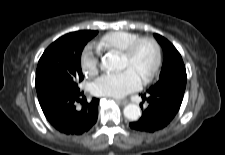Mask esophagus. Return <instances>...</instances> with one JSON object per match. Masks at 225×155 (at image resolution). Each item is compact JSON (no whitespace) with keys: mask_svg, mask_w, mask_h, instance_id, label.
Returning a JSON list of instances; mask_svg holds the SVG:
<instances>
[{"mask_svg":"<svg viewBox=\"0 0 225 155\" xmlns=\"http://www.w3.org/2000/svg\"><path fill=\"white\" fill-rule=\"evenodd\" d=\"M117 102L119 103V104H121V105H126V104H128L129 103V101L128 100H117Z\"/></svg>","mask_w":225,"mask_h":155,"instance_id":"esophagus-1","label":"esophagus"}]
</instances>
